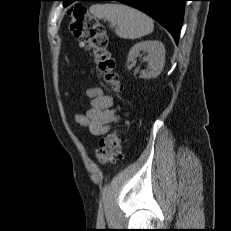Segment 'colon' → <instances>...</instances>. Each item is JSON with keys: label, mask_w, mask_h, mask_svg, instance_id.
Wrapping results in <instances>:
<instances>
[{"label": "colon", "mask_w": 231, "mask_h": 231, "mask_svg": "<svg viewBox=\"0 0 231 231\" xmlns=\"http://www.w3.org/2000/svg\"><path fill=\"white\" fill-rule=\"evenodd\" d=\"M69 15L71 32L90 51L92 62L104 81L114 91L119 92L122 86L114 71L115 62L108 50L105 28L84 5H73L69 10ZM95 154L101 163L111 162L118 157L120 155V131L114 129L103 135Z\"/></svg>", "instance_id": "5ec220e1"}]
</instances>
